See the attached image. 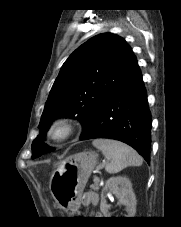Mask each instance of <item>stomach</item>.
<instances>
[{"instance_id": "stomach-1", "label": "stomach", "mask_w": 181, "mask_h": 227, "mask_svg": "<svg viewBox=\"0 0 181 227\" xmlns=\"http://www.w3.org/2000/svg\"><path fill=\"white\" fill-rule=\"evenodd\" d=\"M98 163V155L84 151L63 160L52 172L49 189L55 202L66 212L75 213L79 199L92 170Z\"/></svg>"}]
</instances>
